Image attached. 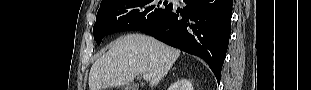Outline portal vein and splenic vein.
I'll list each match as a JSON object with an SVG mask.
<instances>
[{
    "label": "portal vein and splenic vein",
    "mask_w": 311,
    "mask_h": 90,
    "mask_svg": "<svg viewBox=\"0 0 311 90\" xmlns=\"http://www.w3.org/2000/svg\"><path fill=\"white\" fill-rule=\"evenodd\" d=\"M143 79L146 80V81H149L151 78L148 74H144L143 75Z\"/></svg>",
    "instance_id": "obj_1"
}]
</instances>
